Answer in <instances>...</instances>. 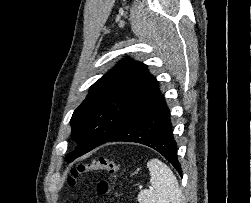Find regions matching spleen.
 <instances>
[{
	"label": "spleen",
	"mask_w": 251,
	"mask_h": 203,
	"mask_svg": "<svg viewBox=\"0 0 251 203\" xmlns=\"http://www.w3.org/2000/svg\"><path fill=\"white\" fill-rule=\"evenodd\" d=\"M150 171L151 190H142L138 194L139 203H181L178 181L172 170L158 159L147 163Z\"/></svg>",
	"instance_id": "1"
}]
</instances>
